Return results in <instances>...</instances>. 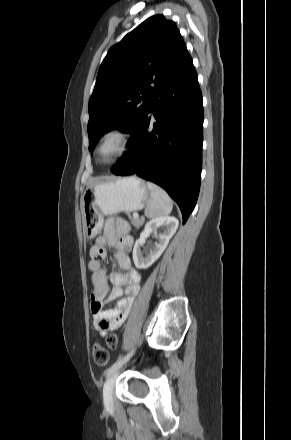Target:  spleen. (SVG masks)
<instances>
[{"label": "spleen", "mask_w": 291, "mask_h": 440, "mask_svg": "<svg viewBox=\"0 0 291 440\" xmlns=\"http://www.w3.org/2000/svg\"><path fill=\"white\" fill-rule=\"evenodd\" d=\"M147 186L151 193V198L145 208V216L148 218H156L171 213L173 203L169 195L159 186L152 182H148Z\"/></svg>", "instance_id": "obj_1"}]
</instances>
